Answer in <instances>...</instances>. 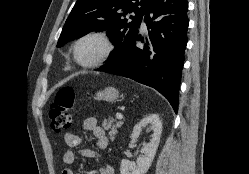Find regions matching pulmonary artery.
I'll return each mask as SVG.
<instances>
[{
	"label": "pulmonary artery",
	"instance_id": "obj_1",
	"mask_svg": "<svg viewBox=\"0 0 249 174\" xmlns=\"http://www.w3.org/2000/svg\"><path fill=\"white\" fill-rule=\"evenodd\" d=\"M141 27L143 30L146 29V23H145L144 17H142V20H141Z\"/></svg>",
	"mask_w": 249,
	"mask_h": 174
}]
</instances>
